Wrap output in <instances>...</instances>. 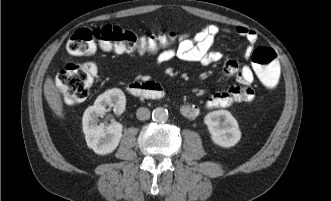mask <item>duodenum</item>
Segmentation results:
<instances>
[{"instance_id":"duodenum-1","label":"duodenum","mask_w":331,"mask_h":201,"mask_svg":"<svg viewBox=\"0 0 331 201\" xmlns=\"http://www.w3.org/2000/svg\"><path fill=\"white\" fill-rule=\"evenodd\" d=\"M126 91L132 96L152 100H161L165 96L161 85L155 82L132 81L126 85Z\"/></svg>"}]
</instances>
